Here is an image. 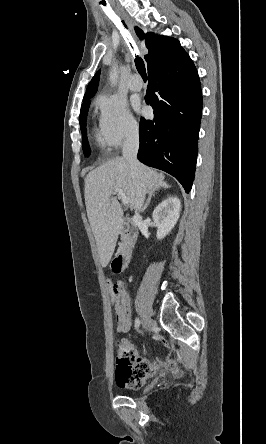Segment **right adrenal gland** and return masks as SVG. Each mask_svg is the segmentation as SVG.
I'll return each mask as SVG.
<instances>
[{"label": "right adrenal gland", "mask_w": 266, "mask_h": 444, "mask_svg": "<svg viewBox=\"0 0 266 444\" xmlns=\"http://www.w3.org/2000/svg\"><path fill=\"white\" fill-rule=\"evenodd\" d=\"M169 187H170V186H169L166 182H163L162 185L159 187V189H160V188L167 189V188H169ZM154 196H155L154 193H150V194H149V197H148L147 203L145 204L144 208L142 209V212H144V211L148 208V206H149L150 203H151V199H152V197H154Z\"/></svg>", "instance_id": "right-adrenal-gland-1"}]
</instances>
